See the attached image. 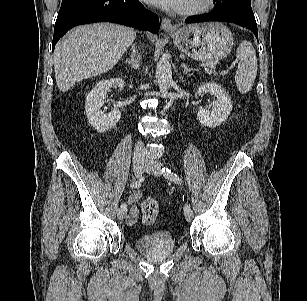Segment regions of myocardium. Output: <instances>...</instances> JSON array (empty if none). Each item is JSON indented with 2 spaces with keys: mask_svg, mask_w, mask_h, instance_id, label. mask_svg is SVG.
I'll return each instance as SVG.
<instances>
[{
  "mask_svg": "<svg viewBox=\"0 0 307 301\" xmlns=\"http://www.w3.org/2000/svg\"><path fill=\"white\" fill-rule=\"evenodd\" d=\"M216 0H197L184 7H178L176 13L182 16H193L203 14L211 10Z\"/></svg>",
  "mask_w": 307,
  "mask_h": 301,
  "instance_id": "f54148a6",
  "label": "myocardium"
}]
</instances>
